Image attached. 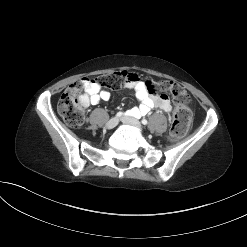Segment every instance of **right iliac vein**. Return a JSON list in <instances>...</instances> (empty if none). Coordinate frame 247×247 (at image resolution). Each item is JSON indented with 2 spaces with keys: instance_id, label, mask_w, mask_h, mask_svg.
<instances>
[{
  "instance_id": "obj_1",
  "label": "right iliac vein",
  "mask_w": 247,
  "mask_h": 247,
  "mask_svg": "<svg viewBox=\"0 0 247 247\" xmlns=\"http://www.w3.org/2000/svg\"><path fill=\"white\" fill-rule=\"evenodd\" d=\"M118 122H119V119H118L117 117L111 118V119L106 123V127H107L108 129H112V128H114V127L117 126Z\"/></svg>"
}]
</instances>
